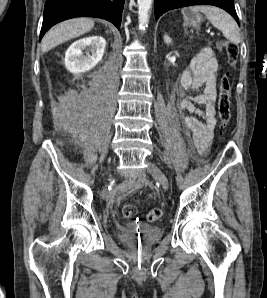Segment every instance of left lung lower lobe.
<instances>
[{
    "mask_svg": "<svg viewBox=\"0 0 267 298\" xmlns=\"http://www.w3.org/2000/svg\"><path fill=\"white\" fill-rule=\"evenodd\" d=\"M199 4L220 7L230 13L239 24L234 0H155V18L157 20L163 13L172 9Z\"/></svg>",
    "mask_w": 267,
    "mask_h": 298,
    "instance_id": "0a47b994",
    "label": "left lung lower lobe"
}]
</instances>
